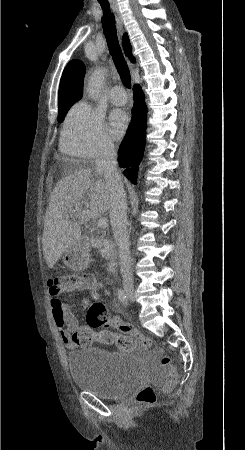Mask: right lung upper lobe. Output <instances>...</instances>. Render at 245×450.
<instances>
[{
  "instance_id": "obj_1",
  "label": "right lung upper lobe",
  "mask_w": 245,
  "mask_h": 450,
  "mask_svg": "<svg viewBox=\"0 0 245 450\" xmlns=\"http://www.w3.org/2000/svg\"><path fill=\"white\" fill-rule=\"evenodd\" d=\"M123 47L129 56V59L134 62L135 58L132 55L131 44L127 34L123 36ZM86 68L79 60L70 61L65 67L59 86L58 107L66 104L75 103L81 99L83 94V79Z\"/></svg>"
}]
</instances>
